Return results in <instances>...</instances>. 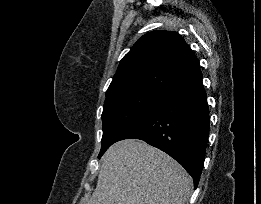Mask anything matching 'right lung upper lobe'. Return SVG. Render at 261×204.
Masks as SVG:
<instances>
[{"instance_id":"right-lung-upper-lobe-1","label":"right lung upper lobe","mask_w":261,"mask_h":204,"mask_svg":"<svg viewBox=\"0 0 261 204\" xmlns=\"http://www.w3.org/2000/svg\"><path fill=\"white\" fill-rule=\"evenodd\" d=\"M199 71L196 55L180 34L149 32L121 60L106 97L132 90L167 93Z\"/></svg>"}]
</instances>
